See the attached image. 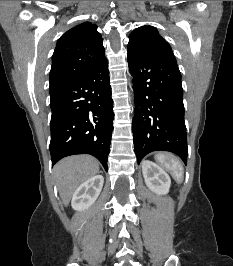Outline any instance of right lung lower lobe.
<instances>
[{
	"mask_svg": "<svg viewBox=\"0 0 233 266\" xmlns=\"http://www.w3.org/2000/svg\"><path fill=\"white\" fill-rule=\"evenodd\" d=\"M52 165L74 154L95 156L107 171L113 131V100L107 59L50 92Z\"/></svg>",
	"mask_w": 233,
	"mask_h": 266,
	"instance_id": "right-lung-lower-lobe-1",
	"label": "right lung lower lobe"
}]
</instances>
